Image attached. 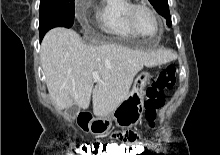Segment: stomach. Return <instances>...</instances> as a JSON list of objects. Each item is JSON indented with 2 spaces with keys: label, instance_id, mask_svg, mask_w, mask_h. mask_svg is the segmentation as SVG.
<instances>
[{
  "label": "stomach",
  "instance_id": "1",
  "mask_svg": "<svg viewBox=\"0 0 220 155\" xmlns=\"http://www.w3.org/2000/svg\"><path fill=\"white\" fill-rule=\"evenodd\" d=\"M150 81V75H139L133 84L129 95L107 116L92 118L81 128L94 135L107 133L112 121L118 126H134L142 120L144 112V88Z\"/></svg>",
  "mask_w": 220,
  "mask_h": 155
}]
</instances>
